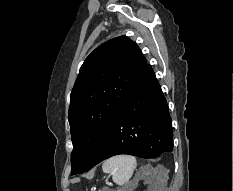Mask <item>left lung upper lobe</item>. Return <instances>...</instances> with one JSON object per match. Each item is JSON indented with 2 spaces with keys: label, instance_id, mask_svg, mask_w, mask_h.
Returning a JSON list of instances; mask_svg holds the SVG:
<instances>
[{
  "label": "left lung upper lobe",
  "instance_id": "5c2ea615",
  "mask_svg": "<svg viewBox=\"0 0 233 191\" xmlns=\"http://www.w3.org/2000/svg\"><path fill=\"white\" fill-rule=\"evenodd\" d=\"M146 65L126 36L103 43L86 58L70 95L71 175L88 166Z\"/></svg>",
  "mask_w": 233,
  "mask_h": 191
}]
</instances>
